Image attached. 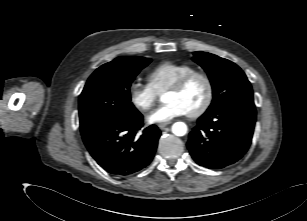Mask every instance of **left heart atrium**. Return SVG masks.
<instances>
[{"label": "left heart atrium", "mask_w": 307, "mask_h": 221, "mask_svg": "<svg viewBox=\"0 0 307 221\" xmlns=\"http://www.w3.org/2000/svg\"><path fill=\"white\" fill-rule=\"evenodd\" d=\"M185 109L177 102H168L155 109L147 116V121L151 124L167 123L170 120L186 115Z\"/></svg>", "instance_id": "39dd6f15"}]
</instances>
